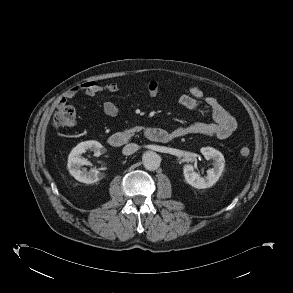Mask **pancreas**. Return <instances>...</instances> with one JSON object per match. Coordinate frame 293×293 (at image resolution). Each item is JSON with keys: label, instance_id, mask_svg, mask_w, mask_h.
I'll return each instance as SVG.
<instances>
[{"label": "pancreas", "instance_id": "pancreas-1", "mask_svg": "<svg viewBox=\"0 0 293 293\" xmlns=\"http://www.w3.org/2000/svg\"><path fill=\"white\" fill-rule=\"evenodd\" d=\"M143 127L141 126H136V127H133L129 130H126L127 133H130V134H133L134 132H137V131H140Z\"/></svg>", "mask_w": 293, "mask_h": 293}]
</instances>
